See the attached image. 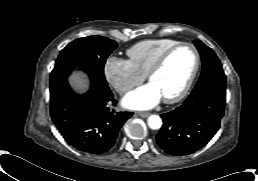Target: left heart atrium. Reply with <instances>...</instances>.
<instances>
[{
	"instance_id": "1",
	"label": "left heart atrium",
	"mask_w": 258,
	"mask_h": 181,
	"mask_svg": "<svg viewBox=\"0 0 258 181\" xmlns=\"http://www.w3.org/2000/svg\"><path fill=\"white\" fill-rule=\"evenodd\" d=\"M162 98L157 88L150 82L130 92L123 105L133 110H145L154 107Z\"/></svg>"
}]
</instances>
